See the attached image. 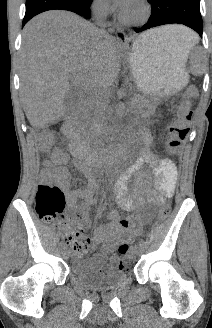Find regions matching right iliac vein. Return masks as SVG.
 I'll use <instances>...</instances> for the list:
<instances>
[{
    "label": "right iliac vein",
    "instance_id": "obj_1",
    "mask_svg": "<svg viewBox=\"0 0 212 328\" xmlns=\"http://www.w3.org/2000/svg\"><path fill=\"white\" fill-rule=\"evenodd\" d=\"M69 255H70L69 250H68L67 248H64V250H63V256H64L65 258H68Z\"/></svg>",
    "mask_w": 212,
    "mask_h": 328
}]
</instances>
